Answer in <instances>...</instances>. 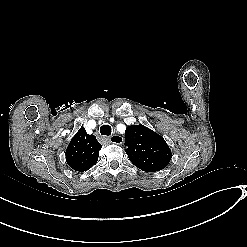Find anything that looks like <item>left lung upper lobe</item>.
Instances as JSON below:
<instances>
[{
    "instance_id": "1",
    "label": "left lung upper lobe",
    "mask_w": 247,
    "mask_h": 247,
    "mask_svg": "<svg viewBox=\"0 0 247 247\" xmlns=\"http://www.w3.org/2000/svg\"><path fill=\"white\" fill-rule=\"evenodd\" d=\"M125 150L130 161L145 172L167 166L171 151L163 137L144 125H131L125 131Z\"/></svg>"
}]
</instances>
